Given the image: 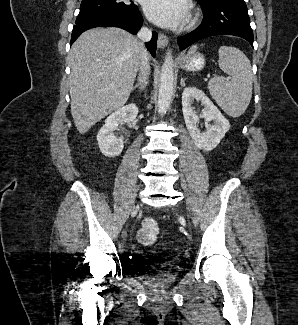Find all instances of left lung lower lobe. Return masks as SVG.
Here are the masks:
<instances>
[{"instance_id": "0a47b994", "label": "left lung lower lobe", "mask_w": 298, "mask_h": 325, "mask_svg": "<svg viewBox=\"0 0 298 325\" xmlns=\"http://www.w3.org/2000/svg\"><path fill=\"white\" fill-rule=\"evenodd\" d=\"M201 25L177 39L180 50L214 35H235L246 39L253 47V32L244 0H219L203 6Z\"/></svg>"}]
</instances>
